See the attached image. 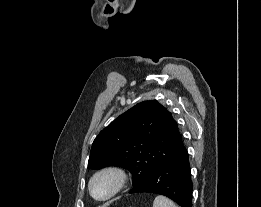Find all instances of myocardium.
I'll return each instance as SVG.
<instances>
[{
  "label": "myocardium",
  "instance_id": "1",
  "mask_svg": "<svg viewBox=\"0 0 261 207\" xmlns=\"http://www.w3.org/2000/svg\"><path fill=\"white\" fill-rule=\"evenodd\" d=\"M100 177H108L112 180V189L104 197H96L93 193V184ZM127 175L125 171L117 166H107L95 172L89 180L88 189L91 197L98 202H105L117 195L125 186Z\"/></svg>",
  "mask_w": 261,
  "mask_h": 207
}]
</instances>
